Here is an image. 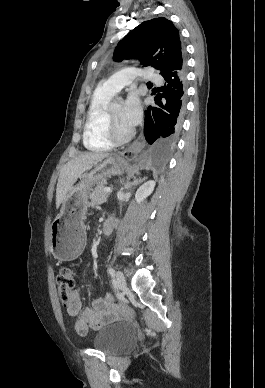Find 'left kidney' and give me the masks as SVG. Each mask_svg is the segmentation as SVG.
<instances>
[{"instance_id": "left-kidney-1", "label": "left kidney", "mask_w": 265, "mask_h": 388, "mask_svg": "<svg viewBox=\"0 0 265 388\" xmlns=\"http://www.w3.org/2000/svg\"><path fill=\"white\" fill-rule=\"evenodd\" d=\"M156 184L153 182V180H149V182H145V184H142L140 186L139 190H137L135 194V200L140 204V202H143L145 198H148L150 194H152Z\"/></svg>"}]
</instances>
